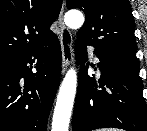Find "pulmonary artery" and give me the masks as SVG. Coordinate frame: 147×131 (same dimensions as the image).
<instances>
[{"label": "pulmonary artery", "instance_id": "obj_1", "mask_svg": "<svg viewBox=\"0 0 147 131\" xmlns=\"http://www.w3.org/2000/svg\"><path fill=\"white\" fill-rule=\"evenodd\" d=\"M90 52H91V55H92V57H93V61H94L95 63H98L99 60H98L97 56L93 53V49H92V48H90Z\"/></svg>", "mask_w": 147, "mask_h": 131}]
</instances>
